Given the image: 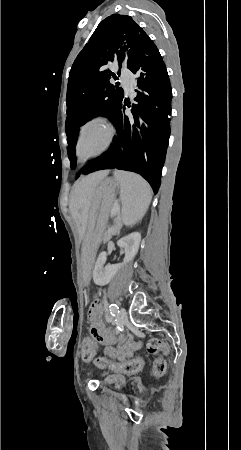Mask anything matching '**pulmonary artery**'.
<instances>
[{"label": "pulmonary artery", "instance_id": "pulmonary-artery-1", "mask_svg": "<svg viewBox=\"0 0 241 450\" xmlns=\"http://www.w3.org/2000/svg\"><path fill=\"white\" fill-rule=\"evenodd\" d=\"M134 79V72L133 71H122L121 75L119 76V83L124 84L125 93L127 95H130L132 93L131 88L133 87L132 80Z\"/></svg>", "mask_w": 241, "mask_h": 450}]
</instances>
